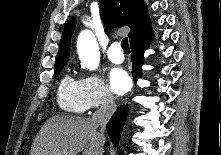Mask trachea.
Here are the masks:
<instances>
[{"label":"trachea","mask_w":221,"mask_h":155,"mask_svg":"<svg viewBox=\"0 0 221 155\" xmlns=\"http://www.w3.org/2000/svg\"><path fill=\"white\" fill-rule=\"evenodd\" d=\"M121 46L122 49L124 50V52L129 53L130 52V48H129V44H128V39L127 37H125L122 42H121Z\"/></svg>","instance_id":"3493384b"}]
</instances>
